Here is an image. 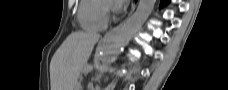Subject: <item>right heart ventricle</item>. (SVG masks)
<instances>
[{
	"instance_id": "right-heart-ventricle-1",
	"label": "right heart ventricle",
	"mask_w": 228,
	"mask_h": 90,
	"mask_svg": "<svg viewBox=\"0 0 228 90\" xmlns=\"http://www.w3.org/2000/svg\"><path fill=\"white\" fill-rule=\"evenodd\" d=\"M106 1L82 0L78 9V20L85 30L102 31L107 21L104 15Z\"/></svg>"
}]
</instances>
